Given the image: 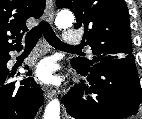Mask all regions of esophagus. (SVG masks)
Wrapping results in <instances>:
<instances>
[{"mask_svg": "<svg viewBox=\"0 0 142 119\" xmlns=\"http://www.w3.org/2000/svg\"><path fill=\"white\" fill-rule=\"evenodd\" d=\"M45 15H46L47 21H49L51 23L54 18V5H53L52 0L46 1ZM42 89H43L44 95L47 99H51L55 95V90H53L49 87L43 86Z\"/></svg>", "mask_w": 142, "mask_h": 119, "instance_id": "esophagus-1", "label": "esophagus"}]
</instances>
